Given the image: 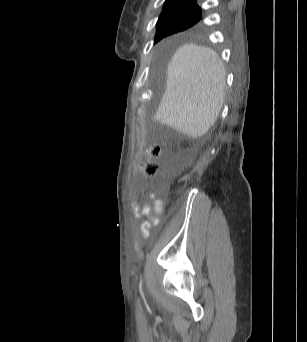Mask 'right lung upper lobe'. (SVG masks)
<instances>
[{
    "label": "right lung upper lobe",
    "mask_w": 307,
    "mask_h": 342,
    "mask_svg": "<svg viewBox=\"0 0 307 342\" xmlns=\"http://www.w3.org/2000/svg\"><path fill=\"white\" fill-rule=\"evenodd\" d=\"M197 0H166L163 7V12L176 10H200ZM205 20L202 17L197 23L187 28L190 32H199L203 29ZM184 31V30H183Z\"/></svg>",
    "instance_id": "1"
}]
</instances>
